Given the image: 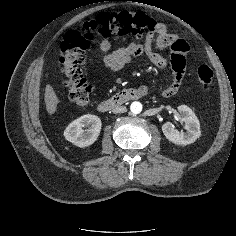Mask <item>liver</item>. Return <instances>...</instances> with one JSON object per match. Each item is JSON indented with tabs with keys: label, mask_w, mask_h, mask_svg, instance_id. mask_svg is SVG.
Here are the masks:
<instances>
[{
	"label": "liver",
	"mask_w": 236,
	"mask_h": 236,
	"mask_svg": "<svg viewBox=\"0 0 236 236\" xmlns=\"http://www.w3.org/2000/svg\"><path fill=\"white\" fill-rule=\"evenodd\" d=\"M44 101L46 105V110L48 114L52 115L57 110V105L59 103V99L50 84L46 85L45 94H44Z\"/></svg>",
	"instance_id": "obj_1"
}]
</instances>
